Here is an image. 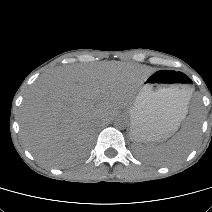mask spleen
Here are the masks:
<instances>
[{
    "instance_id": "3e777b00",
    "label": "spleen",
    "mask_w": 212,
    "mask_h": 212,
    "mask_svg": "<svg viewBox=\"0 0 212 212\" xmlns=\"http://www.w3.org/2000/svg\"><path fill=\"white\" fill-rule=\"evenodd\" d=\"M186 114L187 107L185 109L184 118ZM198 134L199 124L190 126V122H187L169 141L158 145L135 144L134 150L139 157L151 164L168 166L179 163L185 159L186 155L192 150Z\"/></svg>"
}]
</instances>
